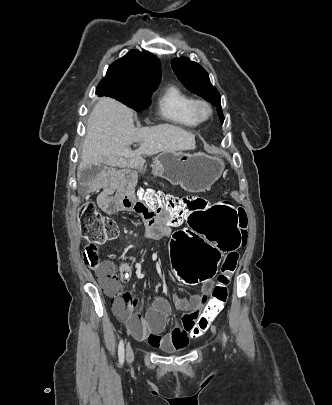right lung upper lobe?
I'll list each match as a JSON object with an SVG mask.
<instances>
[{"mask_svg": "<svg viewBox=\"0 0 332 405\" xmlns=\"http://www.w3.org/2000/svg\"><path fill=\"white\" fill-rule=\"evenodd\" d=\"M106 75H118L134 83L159 84L161 79V63L149 52L129 51L125 56L113 62Z\"/></svg>", "mask_w": 332, "mask_h": 405, "instance_id": "right-lung-upper-lobe-1", "label": "right lung upper lobe"}]
</instances>
